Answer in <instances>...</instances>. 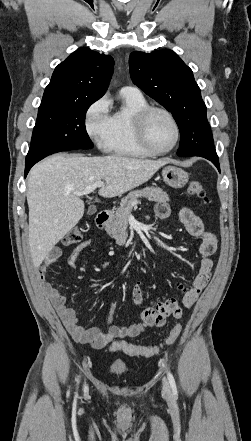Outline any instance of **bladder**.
I'll return each mask as SVG.
<instances>
[{
	"instance_id": "obj_1",
	"label": "bladder",
	"mask_w": 251,
	"mask_h": 441,
	"mask_svg": "<svg viewBox=\"0 0 251 441\" xmlns=\"http://www.w3.org/2000/svg\"><path fill=\"white\" fill-rule=\"evenodd\" d=\"M108 371L112 375L121 376L127 373V368L122 364H112Z\"/></svg>"
}]
</instances>
